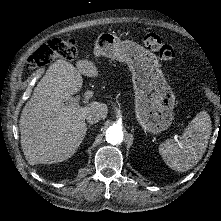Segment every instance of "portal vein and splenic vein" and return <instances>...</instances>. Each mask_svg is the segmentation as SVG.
Listing matches in <instances>:
<instances>
[{"label":"portal vein and splenic vein","instance_id":"18ae733b","mask_svg":"<svg viewBox=\"0 0 221 221\" xmlns=\"http://www.w3.org/2000/svg\"><path fill=\"white\" fill-rule=\"evenodd\" d=\"M86 98H87V97L84 95V96H83V100L81 101V104L84 105V106L87 104V103H86ZM77 100H78V98L73 97V98L71 99V104H70V105L64 104V107H65V108H70V109L76 108V107H77V106H76ZM172 138H173V139H178V138H179V133H178V132H173V133H172Z\"/></svg>","mask_w":221,"mask_h":221}]
</instances>
